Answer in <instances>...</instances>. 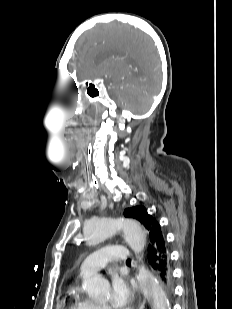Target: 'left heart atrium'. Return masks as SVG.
<instances>
[{"label": "left heart atrium", "mask_w": 232, "mask_h": 309, "mask_svg": "<svg viewBox=\"0 0 232 309\" xmlns=\"http://www.w3.org/2000/svg\"><path fill=\"white\" fill-rule=\"evenodd\" d=\"M111 303L115 309H126L135 299L133 286L119 274H112L110 281Z\"/></svg>", "instance_id": "left-heart-atrium-1"}]
</instances>
